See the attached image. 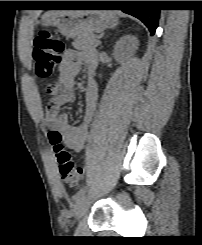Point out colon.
Wrapping results in <instances>:
<instances>
[{
  "instance_id": "obj_1",
  "label": "colon",
  "mask_w": 202,
  "mask_h": 245,
  "mask_svg": "<svg viewBox=\"0 0 202 245\" xmlns=\"http://www.w3.org/2000/svg\"><path fill=\"white\" fill-rule=\"evenodd\" d=\"M62 50L63 44L60 39L53 37L47 31H41L34 38L32 58L37 79L51 78L60 63ZM48 137L53 145L62 179L72 187H77L83 174L82 168L74 163L72 153L62 145L61 135L56 129H51Z\"/></svg>"
}]
</instances>
